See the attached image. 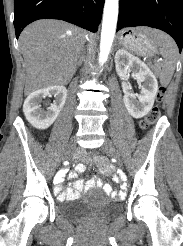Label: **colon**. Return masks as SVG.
<instances>
[{"label": "colon", "instance_id": "5ec220e1", "mask_svg": "<svg viewBox=\"0 0 183 246\" xmlns=\"http://www.w3.org/2000/svg\"><path fill=\"white\" fill-rule=\"evenodd\" d=\"M164 93H165V88L161 87L158 91L157 94V100L158 102H160L163 97H164ZM160 115V110L158 106H155L151 112L148 114V116L146 117V119L142 122V127L146 128L148 127L150 124L154 123L155 121H157V119L159 118ZM88 153L90 154L91 157H99V152H96L95 149H89Z\"/></svg>", "mask_w": 183, "mask_h": 246}]
</instances>
